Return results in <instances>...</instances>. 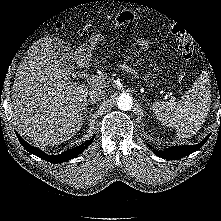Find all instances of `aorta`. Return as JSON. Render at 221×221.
Returning a JSON list of instances; mask_svg holds the SVG:
<instances>
[{"label": "aorta", "instance_id": "1", "mask_svg": "<svg viewBox=\"0 0 221 221\" xmlns=\"http://www.w3.org/2000/svg\"><path fill=\"white\" fill-rule=\"evenodd\" d=\"M132 105V98L127 94H122L117 99V106L122 111L130 110Z\"/></svg>", "mask_w": 221, "mask_h": 221}]
</instances>
